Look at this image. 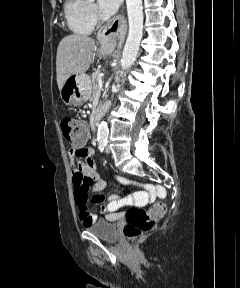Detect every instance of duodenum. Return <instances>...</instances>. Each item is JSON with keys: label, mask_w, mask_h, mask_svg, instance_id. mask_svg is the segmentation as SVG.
<instances>
[{"label": "duodenum", "mask_w": 240, "mask_h": 288, "mask_svg": "<svg viewBox=\"0 0 240 288\" xmlns=\"http://www.w3.org/2000/svg\"><path fill=\"white\" fill-rule=\"evenodd\" d=\"M108 107H109V103H105L102 107L97 108L96 111L94 112L93 125L95 127L98 126L99 121L101 120L103 114L108 109Z\"/></svg>", "instance_id": "1"}]
</instances>
